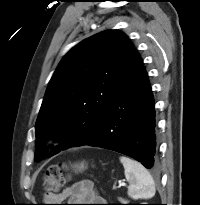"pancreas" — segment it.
<instances>
[{
    "label": "pancreas",
    "instance_id": "1",
    "mask_svg": "<svg viewBox=\"0 0 200 205\" xmlns=\"http://www.w3.org/2000/svg\"><path fill=\"white\" fill-rule=\"evenodd\" d=\"M119 200H120V201H124V200H122V198H119Z\"/></svg>",
    "mask_w": 200,
    "mask_h": 205
}]
</instances>
